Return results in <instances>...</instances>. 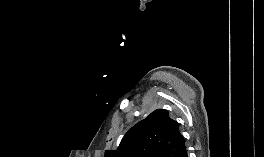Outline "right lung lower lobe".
Returning <instances> with one entry per match:
<instances>
[{
	"instance_id": "98d812e1",
	"label": "right lung lower lobe",
	"mask_w": 264,
	"mask_h": 157,
	"mask_svg": "<svg viewBox=\"0 0 264 157\" xmlns=\"http://www.w3.org/2000/svg\"><path fill=\"white\" fill-rule=\"evenodd\" d=\"M180 157H188V155H187V150H185V151L183 152V154H182Z\"/></svg>"
}]
</instances>
